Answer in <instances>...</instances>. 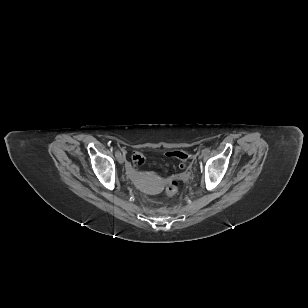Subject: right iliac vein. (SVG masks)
I'll return each instance as SVG.
<instances>
[{"label":"right iliac vein","instance_id":"obj_1","mask_svg":"<svg viewBox=\"0 0 308 308\" xmlns=\"http://www.w3.org/2000/svg\"><path fill=\"white\" fill-rule=\"evenodd\" d=\"M117 160L120 164H123L125 162V157L120 153L118 156H117Z\"/></svg>","mask_w":308,"mask_h":308}]
</instances>
